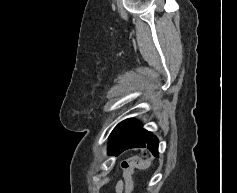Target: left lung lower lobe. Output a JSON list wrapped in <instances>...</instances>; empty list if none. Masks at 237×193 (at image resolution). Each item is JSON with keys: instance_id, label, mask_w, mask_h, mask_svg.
<instances>
[{"instance_id": "0a47b994", "label": "left lung lower lobe", "mask_w": 237, "mask_h": 193, "mask_svg": "<svg viewBox=\"0 0 237 193\" xmlns=\"http://www.w3.org/2000/svg\"><path fill=\"white\" fill-rule=\"evenodd\" d=\"M148 148L151 153L158 156V140L147 130L142 128V125L133 119H130L128 126L119 138V140L109 146L108 153L110 155H119L124 150L129 148Z\"/></svg>"}]
</instances>
